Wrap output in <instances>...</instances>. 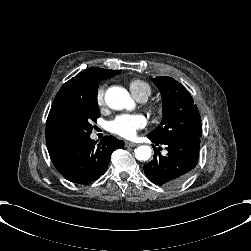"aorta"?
Listing matches in <instances>:
<instances>
[{
  "label": "aorta",
  "instance_id": "762f6f07",
  "mask_svg": "<svg viewBox=\"0 0 251 251\" xmlns=\"http://www.w3.org/2000/svg\"><path fill=\"white\" fill-rule=\"evenodd\" d=\"M105 102L107 105L116 110L133 107L134 101L131 99L128 91L121 87H111L106 91ZM135 158L139 161L150 159L152 149L148 145H141L135 149Z\"/></svg>",
  "mask_w": 251,
  "mask_h": 251
}]
</instances>
